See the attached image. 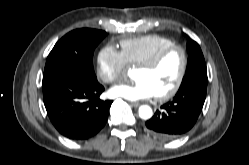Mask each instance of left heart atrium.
I'll return each instance as SVG.
<instances>
[{"instance_id": "left-heart-atrium-1", "label": "left heart atrium", "mask_w": 249, "mask_h": 165, "mask_svg": "<svg viewBox=\"0 0 249 165\" xmlns=\"http://www.w3.org/2000/svg\"><path fill=\"white\" fill-rule=\"evenodd\" d=\"M109 94L112 97L123 98L130 101L149 99L155 96L152 87L146 81L139 79L131 83H119L110 89Z\"/></svg>"}]
</instances>
